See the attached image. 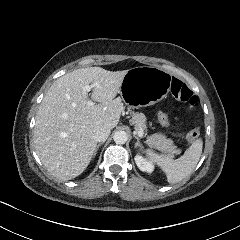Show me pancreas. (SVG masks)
<instances>
[{"label":"pancreas","mask_w":240,"mask_h":240,"mask_svg":"<svg viewBox=\"0 0 240 240\" xmlns=\"http://www.w3.org/2000/svg\"><path fill=\"white\" fill-rule=\"evenodd\" d=\"M135 126V130H146V117L143 113H133L132 122ZM146 143L149 147L157 149L162 153H165L169 158H174L175 155H179L181 150L174 145L173 140L167 138L164 134L155 133L147 137Z\"/></svg>","instance_id":"cf45deb5"}]
</instances>
